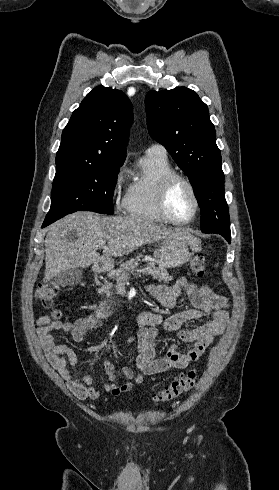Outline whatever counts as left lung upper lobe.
I'll list each match as a JSON object with an SVG mask.
<instances>
[{
	"label": "left lung upper lobe",
	"mask_w": 279,
	"mask_h": 490,
	"mask_svg": "<svg viewBox=\"0 0 279 490\" xmlns=\"http://www.w3.org/2000/svg\"><path fill=\"white\" fill-rule=\"evenodd\" d=\"M145 103L149 134L189 177L201 208L202 232L221 234L230 242L221 153L207 105L186 87L151 90Z\"/></svg>",
	"instance_id": "5c2ea615"
}]
</instances>
